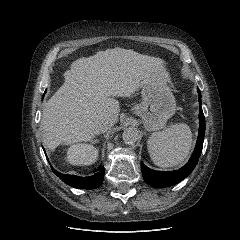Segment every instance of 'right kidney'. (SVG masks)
Listing matches in <instances>:
<instances>
[{
    "instance_id": "right-kidney-1",
    "label": "right kidney",
    "mask_w": 240,
    "mask_h": 240,
    "mask_svg": "<svg viewBox=\"0 0 240 240\" xmlns=\"http://www.w3.org/2000/svg\"><path fill=\"white\" fill-rule=\"evenodd\" d=\"M97 158L98 150L91 144H74L67 151V160L72 165H91Z\"/></svg>"
}]
</instances>
